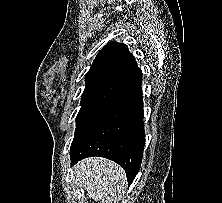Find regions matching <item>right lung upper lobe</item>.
Wrapping results in <instances>:
<instances>
[{
	"mask_svg": "<svg viewBox=\"0 0 222 203\" xmlns=\"http://www.w3.org/2000/svg\"><path fill=\"white\" fill-rule=\"evenodd\" d=\"M142 74L128 47L109 42L98 53L85 77V90L115 94Z\"/></svg>",
	"mask_w": 222,
	"mask_h": 203,
	"instance_id": "obj_1",
	"label": "right lung upper lobe"
}]
</instances>
